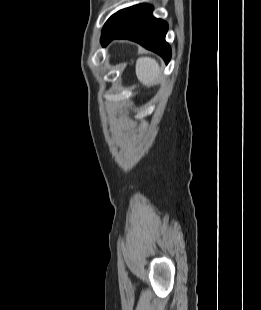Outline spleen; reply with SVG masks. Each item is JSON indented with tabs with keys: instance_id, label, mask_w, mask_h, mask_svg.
<instances>
[{
	"instance_id": "1",
	"label": "spleen",
	"mask_w": 261,
	"mask_h": 310,
	"mask_svg": "<svg viewBox=\"0 0 261 310\" xmlns=\"http://www.w3.org/2000/svg\"><path fill=\"white\" fill-rule=\"evenodd\" d=\"M160 67L157 61L150 57H141L136 62V75L144 85H152L160 78Z\"/></svg>"
}]
</instances>
